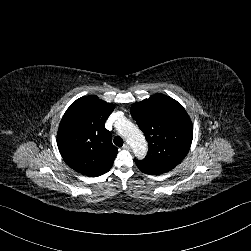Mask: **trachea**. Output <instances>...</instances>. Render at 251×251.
Masks as SVG:
<instances>
[{
    "mask_svg": "<svg viewBox=\"0 0 251 251\" xmlns=\"http://www.w3.org/2000/svg\"><path fill=\"white\" fill-rule=\"evenodd\" d=\"M114 144L118 147H122L124 144V141L120 136H116L114 137Z\"/></svg>",
    "mask_w": 251,
    "mask_h": 251,
    "instance_id": "trachea-1",
    "label": "trachea"
}]
</instances>
